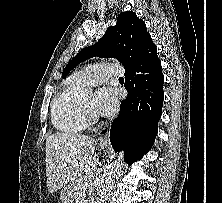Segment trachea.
I'll use <instances>...</instances> for the list:
<instances>
[{
	"label": "trachea",
	"instance_id": "obj_1",
	"mask_svg": "<svg viewBox=\"0 0 222 203\" xmlns=\"http://www.w3.org/2000/svg\"><path fill=\"white\" fill-rule=\"evenodd\" d=\"M124 78L123 77H119V80H123Z\"/></svg>",
	"mask_w": 222,
	"mask_h": 203
}]
</instances>
